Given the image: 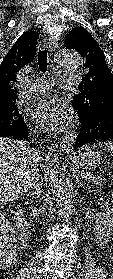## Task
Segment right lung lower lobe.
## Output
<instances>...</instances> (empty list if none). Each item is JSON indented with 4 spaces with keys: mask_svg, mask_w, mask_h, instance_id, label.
<instances>
[{
    "mask_svg": "<svg viewBox=\"0 0 113 279\" xmlns=\"http://www.w3.org/2000/svg\"><path fill=\"white\" fill-rule=\"evenodd\" d=\"M29 135V129L26 126V124L17 126V127H11L7 128L5 130L0 131V137H10L14 139H24L28 140Z\"/></svg>",
    "mask_w": 113,
    "mask_h": 279,
    "instance_id": "1",
    "label": "right lung lower lobe"
}]
</instances>
